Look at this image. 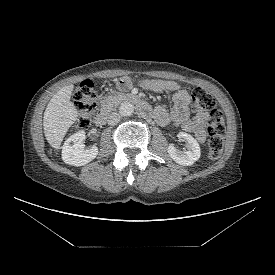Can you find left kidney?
<instances>
[{"label":"left kidney","mask_w":275,"mask_h":275,"mask_svg":"<svg viewBox=\"0 0 275 275\" xmlns=\"http://www.w3.org/2000/svg\"><path fill=\"white\" fill-rule=\"evenodd\" d=\"M177 137L187 142V150H179L171 144L168 146V153L176 163L183 166H190L200 158L201 151L199 143L190 134L185 132L178 133Z\"/></svg>","instance_id":"left-kidney-1"}]
</instances>
